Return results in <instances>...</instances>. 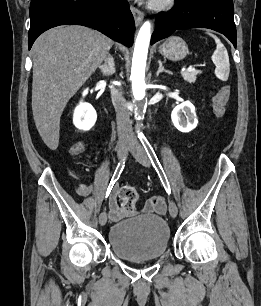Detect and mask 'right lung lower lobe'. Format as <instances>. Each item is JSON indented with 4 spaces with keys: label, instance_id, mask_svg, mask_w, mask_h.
<instances>
[{
    "label": "right lung lower lobe",
    "instance_id": "1",
    "mask_svg": "<svg viewBox=\"0 0 261 306\" xmlns=\"http://www.w3.org/2000/svg\"><path fill=\"white\" fill-rule=\"evenodd\" d=\"M28 46L44 31L59 25L96 29L128 47L135 23L127 0H31Z\"/></svg>",
    "mask_w": 261,
    "mask_h": 306
}]
</instances>
